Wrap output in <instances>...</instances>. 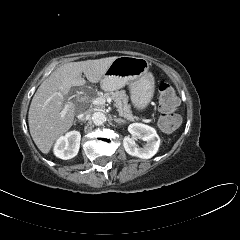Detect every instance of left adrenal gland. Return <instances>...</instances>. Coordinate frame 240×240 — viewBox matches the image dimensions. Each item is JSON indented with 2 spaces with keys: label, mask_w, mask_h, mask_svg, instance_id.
Instances as JSON below:
<instances>
[{
  "label": "left adrenal gland",
  "mask_w": 240,
  "mask_h": 240,
  "mask_svg": "<svg viewBox=\"0 0 240 240\" xmlns=\"http://www.w3.org/2000/svg\"><path fill=\"white\" fill-rule=\"evenodd\" d=\"M114 121L118 124L125 123V121L123 119L117 118V117L114 118Z\"/></svg>",
  "instance_id": "a2214340"
}]
</instances>
